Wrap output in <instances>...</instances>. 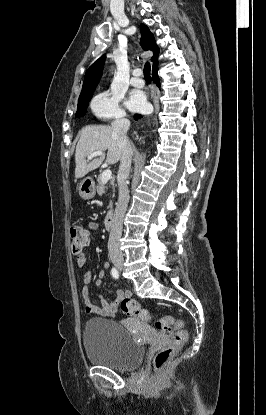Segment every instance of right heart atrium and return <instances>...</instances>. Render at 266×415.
Segmentation results:
<instances>
[{
    "mask_svg": "<svg viewBox=\"0 0 266 415\" xmlns=\"http://www.w3.org/2000/svg\"><path fill=\"white\" fill-rule=\"evenodd\" d=\"M120 96L113 91H103L97 94L90 103L93 114L103 120L119 119L125 116L120 106Z\"/></svg>",
    "mask_w": 266,
    "mask_h": 415,
    "instance_id": "1",
    "label": "right heart atrium"
}]
</instances>
